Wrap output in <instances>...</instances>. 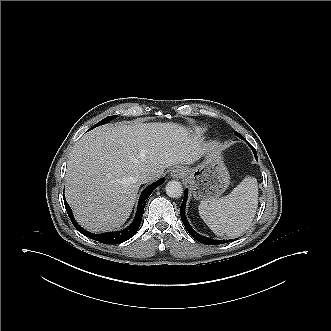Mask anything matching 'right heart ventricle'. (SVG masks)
I'll return each instance as SVG.
<instances>
[{
    "label": "right heart ventricle",
    "instance_id": "right-heart-ventricle-1",
    "mask_svg": "<svg viewBox=\"0 0 331 331\" xmlns=\"http://www.w3.org/2000/svg\"><path fill=\"white\" fill-rule=\"evenodd\" d=\"M193 133L197 137H201L206 133V128L202 126H196L193 128Z\"/></svg>",
    "mask_w": 331,
    "mask_h": 331
}]
</instances>
